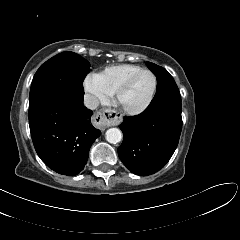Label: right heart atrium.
I'll list each match as a JSON object with an SVG mask.
<instances>
[{"mask_svg":"<svg viewBox=\"0 0 240 240\" xmlns=\"http://www.w3.org/2000/svg\"><path fill=\"white\" fill-rule=\"evenodd\" d=\"M85 91L95 102H105L109 99L110 93L102 86L97 75H89L84 80Z\"/></svg>","mask_w":240,"mask_h":240,"instance_id":"d8ad5b80","label":"right heart atrium"}]
</instances>
